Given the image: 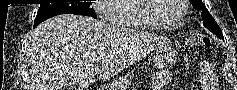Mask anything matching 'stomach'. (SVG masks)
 I'll list each match as a JSON object with an SVG mask.
<instances>
[{
  "label": "stomach",
  "mask_w": 237,
  "mask_h": 90,
  "mask_svg": "<svg viewBox=\"0 0 237 90\" xmlns=\"http://www.w3.org/2000/svg\"><path fill=\"white\" fill-rule=\"evenodd\" d=\"M176 60V53L173 51H166L163 55H156L155 65L158 68L168 67L173 64ZM133 75L132 73L126 74L117 82L109 86V90H126L127 86L131 83Z\"/></svg>",
  "instance_id": "stomach-1"
}]
</instances>
